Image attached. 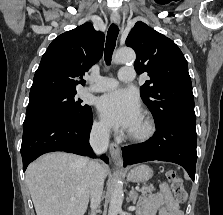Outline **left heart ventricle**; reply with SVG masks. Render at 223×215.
<instances>
[{"label":"left heart ventricle","mask_w":223,"mask_h":215,"mask_svg":"<svg viewBox=\"0 0 223 215\" xmlns=\"http://www.w3.org/2000/svg\"><path fill=\"white\" fill-rule=\"evenodd\" d=\"M141 129H142V122L139 117L138 120L134 123V125L130 128V130L139 131Z\"/></svg>","instance_id":"obj_1"}]
</instances>
